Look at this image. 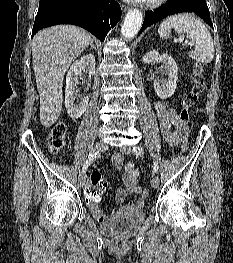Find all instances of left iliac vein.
Here are the masks:
<instances>
[{
	"mask_svg": "<svg viewBox=\"0 0 233 263\" xmlns=\"http://www.w3.org/2000/svg\"><path fill=\"white\" fill-rule=\"evenodd\" d=\"M120 150H121V152H122L123 154H126V155H129V154H131V152H132V148H131V146H129V145H126V146L121 147ZM151 185H152L153 188H157V187L159 186V177H158V176L155 175V176L152 178V180H151Z\"/></svg>",
	"mask_w": 233,
	"mask_h": 263,
	"instance_id": "4c4485c4",
	"label": "left iliac vein"
}]
</instances>
